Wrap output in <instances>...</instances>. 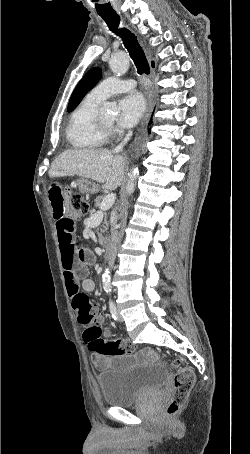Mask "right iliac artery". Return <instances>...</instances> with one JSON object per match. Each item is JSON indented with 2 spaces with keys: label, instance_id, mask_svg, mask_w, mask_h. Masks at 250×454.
<instances>
[{
  "label": "right iliac artery",
  "instance_id": "1",
  "mask_svg": "<svg viewBox=\"0 0 250 454\" xmlns=\"http://www.w3.org/2000/svg\"><path fill=\"white\" fill-rule=\"evenodd\" d=\"M109 308H110V312H111L112 318L114 320H117L118 319V314H117V311H116V307H115L114 303L111 300L109 301Z\"/></svg>",
  "mask_w": 250,
  "mask_h": 454
}]
</instances>
